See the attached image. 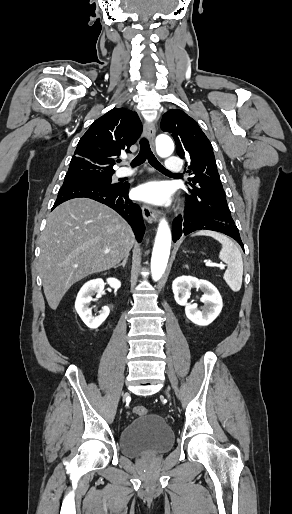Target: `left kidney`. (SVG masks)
I'll return each instance as SVG.
<instances>
[{
	"instance_id": "5707ae66",
	"label": "left kidney",
	"mask_w": 292,
	"mask_h": 514,
	"mask_svg": "<svg viewBox=\"0 0 292 514\" xmlns=\"http://www.w3.org/2000/svg\"><path fill=\"white\" fill-rule=\"evenodd\" d=\"M174 298L179 306H185V314L188 320L197 326H208L217 316H219L223 302L222 298L215 286L207 282V280H198L192 276H180L176 278L172 284ZM191 288H201L205 292L201 298V302L205 304L204 308L198 310L197 304H188Z\"/></svg>"
}]
</instances>
